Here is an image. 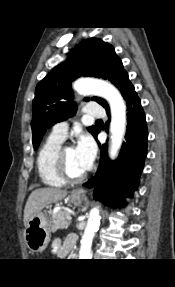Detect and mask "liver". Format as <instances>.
Wrapping results in <instances>:
<instances>
[{
	"instance_id": "1",
	"label": "liver",
	"mask_w": 175,
	"mask_h": 287,
	"mask_svg": "<svg viewBox=\"0 0 175 287\" xmlns=\"http://www.w3.org/2000/svg\"><path fill=\"white\" fill-rule=\"evenodd\" d=\"M68 192L58 188H39L30 194L24 209V225L29 218L39 213L45 206L56 203L66 197Z\"/></svg>"
}]
</instances>
